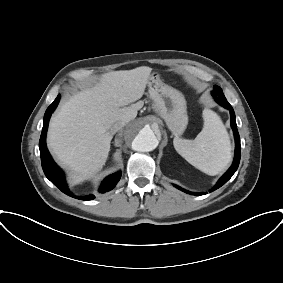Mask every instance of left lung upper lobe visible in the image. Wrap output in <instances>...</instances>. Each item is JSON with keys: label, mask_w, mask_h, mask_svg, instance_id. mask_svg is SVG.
<instances>
[{"label": "left lung upper lobe", "mask_w": 283, "mask_h": 283, "mask_svg": "<svg viewBox=\"0 0 283 283\" xmlns=\"http://www.w3.org/2000/svg\"><path fill=\"white\" fill-rule=\"evenodd\" d=\"M212 94H213L214 97H219V98L225 97L222 89L219 86H216V85L214 86Z\"/></svg>", "instance_id": "5c2ea615"}]
</instances>
